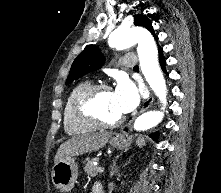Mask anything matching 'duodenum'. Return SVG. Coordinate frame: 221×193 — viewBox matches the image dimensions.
Here are the masks:
<instances>
[{"mask_svg": "<svg viewBox=\"0 0 221 193\" xmlns=\"http://www.w3.org/2000/svg\"><path fill=\"white\" fill-rule=\"evenodd\" d=\"M93 193H104V191L100 188L94 189Z\"/></svg>", "mask_w": 221, "mask_h": 193, "instance_id": "obj_1", "label": "duodenum"}]
</instances>
